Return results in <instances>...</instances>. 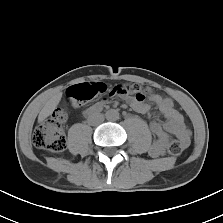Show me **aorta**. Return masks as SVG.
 Wrapping results in <instances>:
<instances>
[{"label": "aorta", "mask_w": 223, "mask_h": 223, "mask_svg": "<svg viewBox=\"0 0 223 223\" xmlns=\"http://www.w3.org/2000/svg\"><path fill=\"white\" fill-rule=\"evenodd\" d=\"M105 116L109 121H116L119 118V113L114 109H110L106 112Z\"/></svg>", "instance_id": "aorta-1"}]
</instances>
